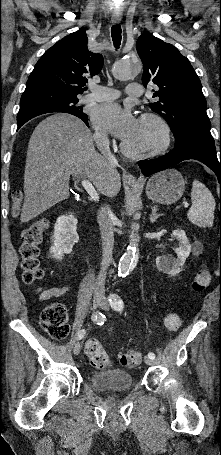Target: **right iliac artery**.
<instances>
[{
  "label": "right iliac artery",
  "mask_w": 221,
  "mask_h": 455,
  "mask_svg": "<svg viewBox=\"0 0 221 455\" xmlns=\"http://www.w3.org/2000/svg\"><path fill=\"white\" fill-rule=\"evenodd\" d=\"M91 318L98 325L104 324L105 315L100 311H96L95 313H93ZM85 333L86 331L84 329L80 330L77 334V340H81L84 337Z\"/></svg>",
  "instance_id": "obj_1"
}]
</instances>
